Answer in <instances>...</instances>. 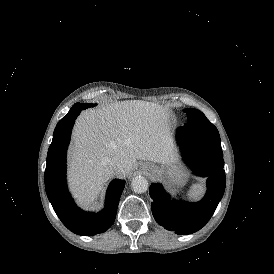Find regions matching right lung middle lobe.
Wrapping results in <instances>:
<instances>
[{"label":"right lung middle lobe","mask_w":274,"mask_h":274,"mask_svg":"<svg viewBox=\"0 0 274 274\" xmlns=\"http://www.w3.org/2000/svg\"><path fill=\"white\" fill-rule=\"evenodd\" d=\"M93 106H95L94 104H90V106L89 107H93Z\"/></svg>","instance_id":"right-lung-middle-lobe-1"}]
</instances>
